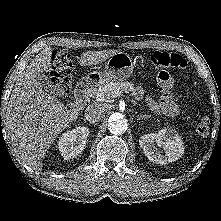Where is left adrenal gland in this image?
Wrapping results in <instances>:
<instances>
[{
	"label": "left adrenal gland",
	"instance_id": "a2214340",
	"mask_svg": "<svg viewBox=\"0 0 221 221\" xmlns=\"http://www.w3.org/2000/svg\"><path fill=\"white\" fill-rule=\"evenodd\" d=\"M150 117V115H146V114H144V115H138V120H142V119H144V118H149Z\"/></svg>",
	"mask_w": 221,
	"mask_h": 221
}]
</instances>
